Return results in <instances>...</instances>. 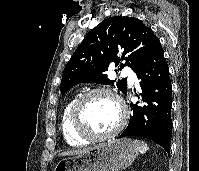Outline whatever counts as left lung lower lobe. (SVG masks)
I'll list each match as a JSON object with an SVG mask.
<instances>
[{
	"label": "left lung lower lobe",
	"mask_w": 199,
	"mask_h": 171,
	"mask_svg": "<svg viewBox=\"0 0 199 171\" xmlns=\"http://www.w3.org/2000/svg\"><path fill=\"white\" fill-rule=\"evenodd\" d=\"M135 73L141 80V93L137 94L141 103H131L132 115L129 124L119 138L141 136L154 141L169 153L173 126L172 86L160 41L155 44Z\"/></svg>",
	"instance_id": "obj_1"
}]
</instances>
